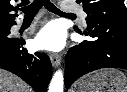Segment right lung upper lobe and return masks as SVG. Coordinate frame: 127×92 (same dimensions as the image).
Here are the masks:
<instances>
[{
  "mask_svg": "<svg viewBox=\"0 0 127 92\" xmlns=\"http://www.w3.org/2000/svg\"><path fill=\"white\" fill-rule=\"evenodd\" d=\"M10 1L11 0H0V26L15 23V18L17 17V14H15V12H17L16 9L18 7H13L10 4ZM15 2H17V0H15ZM28 3V0H22V2L18 4V6H23Z\"/></svg>",
  "mask_w": 127,
  "mask_h": 92,
  "instance_id": "cb5924a9",
  "label": "right lung upper lobe"
}]
</instances>
